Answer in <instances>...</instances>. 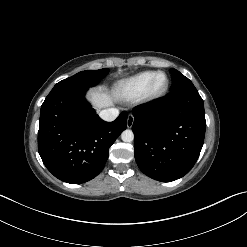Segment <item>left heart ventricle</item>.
I'll use <instances>...</instances> for the list:
<instances>
[{"label": "left heart ventricle", "mask_w": 247, "mask_h": 247, "mask_svg": "<svg viewBox=\"0 0 247 247\" xmlns=\"http://www.w3.org/2000/svg\"><path fill=\"white\" fill-rule=\"evenodd\" d=\"M164 84V78H159L158 80V86L161 87Z\"/></svg>", "instance_id": "left-heart-ventricle-1"}]
</instances>
